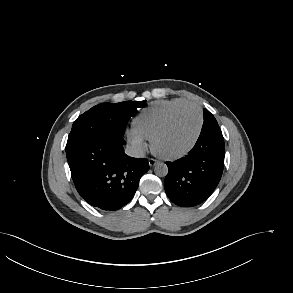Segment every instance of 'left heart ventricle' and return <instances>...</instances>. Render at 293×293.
Returning a JSON list of instances; mask_svg holds the SVG:
<instances>
[{"label":"left heart ventricle","instance_id":"1","mask_svg":"<svg viewBox=\"0 0 293 293\" xmlns=\"http://www.w3.org/2000/svg\"><path fill=\"white\" fill-rule=\"evenodd\" d=\"M199 121V113L195 108L182 110L157 140L158 150L166 154L184 150L193 140Z\"/></svg>","mask_w":293,"mask_h":293}]
</instances>
